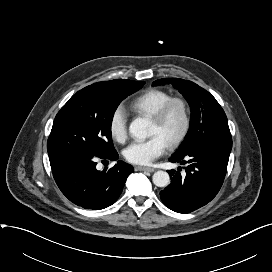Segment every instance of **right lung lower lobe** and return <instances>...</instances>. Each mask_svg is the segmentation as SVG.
<instances>
[{
    "instance_id": "obj_1",
    "label": "right lung lower lobe",
    "mask_w": 272,
    "mask_h": 272,
    "mask_svg": "<svg viewBox=\"0 0 272 272\" xmlns=\"http://www.w3.org/2000/svg\"><path fill=\"white\" fill-rule=\"evenodd\" d=\"M117 160L116 151L109 155L67 154L50 161L52 173L61 192L74 204L100 210L112 205L119 197L127 177L134 169L118 161L114 167L96 169L97 160Z\"/></svg>"
}]
</instances>
